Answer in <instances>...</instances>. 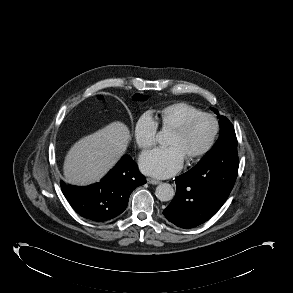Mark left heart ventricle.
<instances>
[{"label":"left heart ventricle","mask_w":293,"mask_h":293,"mask_svg":"<svg viewBox=\"0 0 293 293\" xmlns=\"http://www.w3.org/2000/svg\"><path fill=\"white\" fill-rule=\"evenodd\" d=\"M212 131V122L207 118H203L185 136H178L172 133L168 145L178 148L184 158H188L199 152L208 143Z\"/></svg>","instance_id":"1"}]
</instances>
